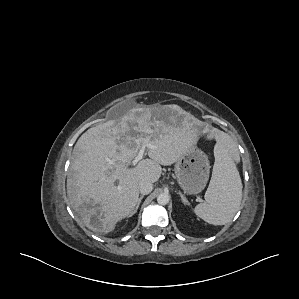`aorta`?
<instances>
[{"mask_svg":"<svg viewBox=\"0 0 299 299\" xmlns=\"http://www.w3.org/2000/svg\"><path fill=\"white\" fill-rule=\"evenodd\" d=\"M169 200H170V196L168 193H160L157 197V202L160 204V205H166L169 203Z\"/></svg>","mask_w":299,"mask_h":299,"instance_id":"aorta-1","label":"aorta"}]
</instances>
